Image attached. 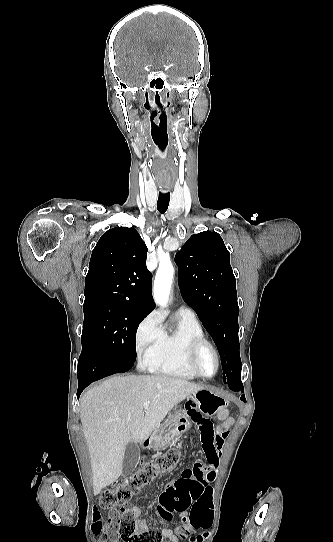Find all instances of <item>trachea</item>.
Here are the masks:
<instances>
[{
  "instance_id": "3493384b",
  "label": "trachea",
  "mask_w": 333,
  "mask_h": 542,
  "mask_svg": "<svg viewBox=\"0 0 333 542\" xmlns=\"http://www.w3.org/2000/svg\"><path fill=\"white\" fill-rule=\"evenodd\" d=\"M169 201H170V193L169 192H165V193L164 192H159L157 206H158V211L160 213L166 212V210L168 208V205H169Z\"/></svg>"
}]
</instances>
